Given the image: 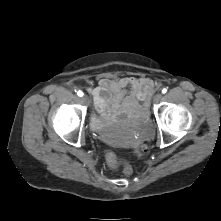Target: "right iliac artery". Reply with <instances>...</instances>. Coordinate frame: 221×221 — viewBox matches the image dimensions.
<instances>
[{
    "mask_svg": "<svg viewBox=\"0 0 221 221\" xmlns=\"http://www.w3.org/2000/svg\"><path fill=\"white\" fill-rule=\"evenodd\" d=\"M77 95L80 96V97H82V96H83V92L79 90V91L77 92Z\"/></svg>",
    "mask_w": 221,
    "mask_h": 221,
    "instance_id": "82829eb1",
    "label": "right iliac artery"
}]
</instances>
